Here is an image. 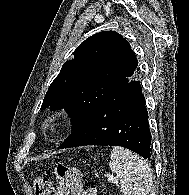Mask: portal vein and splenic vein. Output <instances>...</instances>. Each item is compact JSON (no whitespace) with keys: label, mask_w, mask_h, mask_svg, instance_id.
Here are the masks:
<instances>
[{"label":"portal vein and splenic vein","mask_w":189,"mask_h":195,"mask_svg":"<svg viewBox=\"0 0 189 195\" xmlns=\"http://www.w3.org/2000/svg\"><path fill=\"white\" fill-rule=\"evenodd\" d=\"M107 180H108L109 182H113V181H116L117 178L114 177V176H109Z\"/></svg>","instance_id":"18ae733b"}]
</instances>
